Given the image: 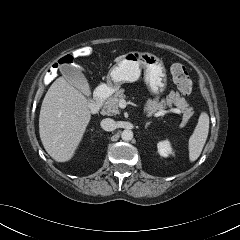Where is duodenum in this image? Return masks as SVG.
Here are the masks:
<instances>
[{
	"label": "duodenum",
	"mask_w": 240,
	"mask_h": 240,
	"mask_svg": "<svg viewBox=\"0 0 240 240\" xmlns=\"http://www.w3.org/2000/svg\"><path fill=\"white\" fill-rule=\"evenodd\" d=\"M110 87L108 85H100L94 92L93 98L89 102V108L91 112L99 111L102 101L106 94L109 92Z\"/></svg>",
	"instance_id": "duodenum-1"
}]
</instances>
